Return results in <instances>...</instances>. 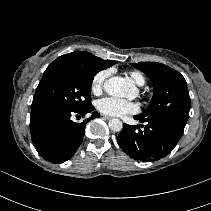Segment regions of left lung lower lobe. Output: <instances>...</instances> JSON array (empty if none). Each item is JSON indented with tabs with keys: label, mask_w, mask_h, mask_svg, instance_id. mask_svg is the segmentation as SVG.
I'll use <instances>...</instances> for the list:
<instances>
[{
	"label": "left lung lower lobe",
	"mask_w": 211,
	"mask_h": 211,
	"mask_svg": "<svg viewBox=\"0 0 211 211\" xmlns=\"http://www.w3.org/2000/svg\"><path fill=\"white\" fill-rule=\"evenodd\" d=\"M134 118L146 124L144 129L124 124L117 141L124 152L143 162L157 161L168 155L184 131V128L162 117L142 118L136 115Z\"/></svg>",
	"instance_id": "left-lung-lower-lobe-1"
}]
</instances>
